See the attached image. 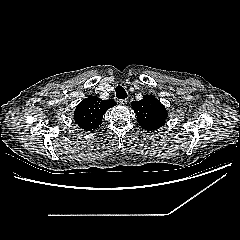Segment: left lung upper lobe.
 Wrapping results in <instances>:
<instances>
[{
    "instance_id": "left-lung-upper-lobe-1",
    "label": "left lung upper lobe",
    "mask_w": 240,
    "mask_h": 240,
    "mask_svg": "<svg viewBox=\"0 0 240 240\" xmlns=\"http://www.w3.org/2000/svg\"><path fill=\"white\" fill-rule=\"evenodd\" d=\"M131 106L137 115L139 125L143 129L154 131L165 124L167 111L154 96L146 95L140 101H133Z\"/></svg>"
}]
</instances>
